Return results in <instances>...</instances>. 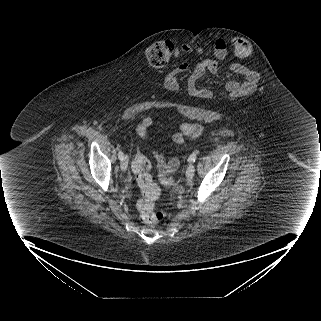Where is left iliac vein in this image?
<instances>
[{"label":"left iliac vein","instance_id":"obj_1","mask_svg":"<svg viewBox=\"0 0 321 321\" xmlns=\"http://www.w3.org/2000/svg\"><path fill=\"white\" fill-rule=\"evenodd\" d=\"M195 173V166L193 164H189L186 169V176L188 179H193Z\"/></svg>","mask_w":321,"mask_h":321}]
</instances>
